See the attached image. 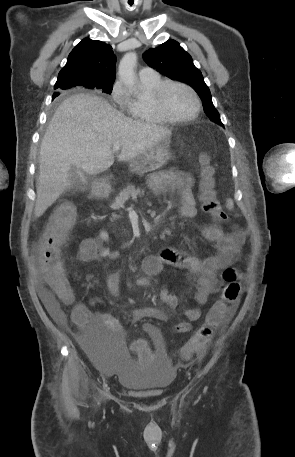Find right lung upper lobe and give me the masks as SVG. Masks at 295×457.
Instances as JSON below:
<instances>
[{
	"label": "right lung upper lobe",
	"instance_id": "obj_1",
	"mask_svg": "<svg viewBox=\"0 0 295 457\" xmlns=\"http://www.w3.org/2000/svg\"><path fill=\"white\" fill-rule=\"evenodd\" d=\"M116 56L112 47L89 38L78 43L68 56L66 65L58 75L55 89H68L70 85L93 89L113 84L115 81ZM83 85V86H82Z\"/></svg>",
	"mask_w": 295,
	"mask_h": 457
}]
</instances>
